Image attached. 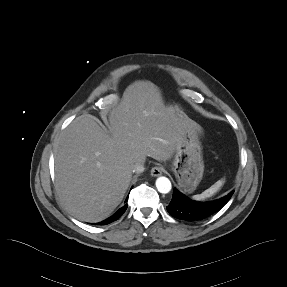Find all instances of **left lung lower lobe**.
<instances>
[{"mask_svg":"<svg viewBox=\"0 0 287 287\" xmlns=\"http://www.w3.org/2000/svg\"><path fill=\"white\" fill-rule=\"evenodd\" d=\"M233 192L221 199L203 203L188 199L174 188L173 197L167 206V211L177 219L186 221L202 220L220 210L229 201Z\"/></svg>","mask_w":287,"mask_h":287,"instance_id":"1","label":"left lung lower lobe"}]
</instances>
